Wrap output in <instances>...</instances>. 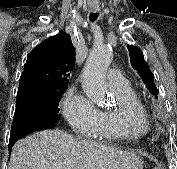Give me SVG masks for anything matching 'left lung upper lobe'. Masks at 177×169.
Segmentation results:
<instances>
[{
    "label": "left lung upper lobe",
    "mask_w": 177,
    "mask_h": 169,
    "mask_svg": "<svg viewBox=\"0 0 177 169\" xmlns=\"http://www.w3.org/2000/svg\"><path fill=\"white\" fill-rule=\"evenodd\" d=\"M128 51L130 53V60L132 67L137 70L139 76L141 77L143 83L146 87L155 95L159 93L154 83V74L149 69L148 65L145 63L143 58V52L134 46L127 45Z\"/></svg>",
    "instance_id": "1"
}]
</instances>
